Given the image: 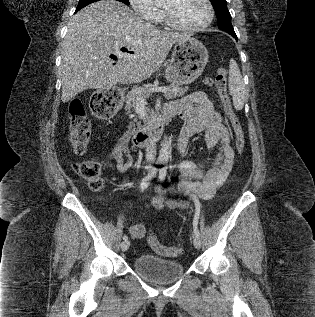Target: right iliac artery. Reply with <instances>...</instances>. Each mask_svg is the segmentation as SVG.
<instances>
[{
	"mask_svg": "<svg viewBox=\"0 0 315 317\" xmlns=\"http://www.w3.org/2000/svg\"><path fill=\"white\" fill-rule=\"evenodd\" d=\"M157 166H160L162 164L161 161H157ZM158 171V167H153L151 172L145 176L140 184V189L141 191H144L148 185L150 184L151 179L154 177V175L157 173ZM128 237L126 235L123 236V240H127Z\"/></svg>",
	"mask_w": 315,
	"mask_h": 317,
	"instance_id": "right-iliac-artery-1",
	"label": "right iliac artery"
}]
</instances>
